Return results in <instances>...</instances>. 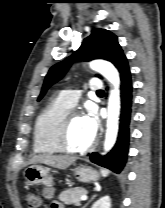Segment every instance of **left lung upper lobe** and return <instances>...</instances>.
I'll use <instances>...</instances> for the list:
<instances>
[{
  "instance_id": "5c2ea615",
  "label": "left lung upper lobe",
  "mask_w": 165,
  "mask_h": 208,
  "mask_svg": "<svg viewBox=\"0 0 165 208\" xmlns=\"http://www.w3.org/2000/svg\"><path fill=\"white\" fill-rule=\"evenodd\" d=\"M124 57L125 55L118 43L117 37L112 32L100 28L92 30L91 35L84 39L77 51L50 68L38 100L44 96L51 85L64 76L72 61L105 59L117 66Z\"/></svg>"
}]
</instances>
